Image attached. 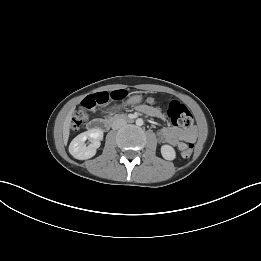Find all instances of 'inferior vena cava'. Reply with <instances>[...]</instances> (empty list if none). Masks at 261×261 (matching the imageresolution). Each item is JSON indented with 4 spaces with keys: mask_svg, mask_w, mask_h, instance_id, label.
Here are the masks:
<instances>
[{
    "mask_svg": "<svg viewBox=\"0 0 261 261\" xmlns=\"http://www.w3.org/2000/svg\"><path fill=\"white\" fill-rule=\"evenodd\" d=\"M126 124V120L125 119H122V118H119V119H116L113 123H112V128L114 130L116 129H119L121 128L122 126H124Z\"/></svg>",
    "mask_w": 261,
    "mask_h": 261,
    "instance_id": "inferior-vena-cava-1",
    "label": "inferior vena cava"
}]
</instances>
